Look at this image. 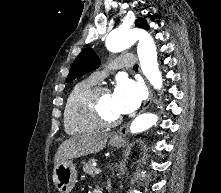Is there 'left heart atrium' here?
Listing matches in <instances>:
<instances>
[{
    "mask_svg": "<svg viewBox=\"0 0 221 193\" xmlns=\"http://www.w3.org/2000/svg\"><path fill=\"white\" fill-rule=\"evenodd\" d=\"M144 98L142 86L126 77L120 78L112 92V99L117 112L129 114L135 111Z\"/></svg>",
    "mask_w": 221,
    "mask_h": 193,
    "instance_id": "obj_1",
    "label": "left heart atrium"
}]
</instances>
